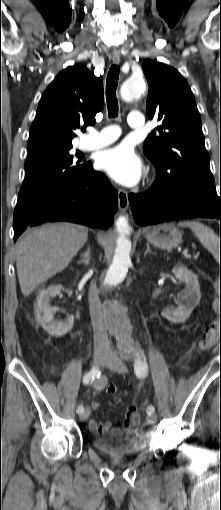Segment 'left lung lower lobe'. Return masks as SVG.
I'll return each instance as SVG.
<instances>
[{
    "label": "left lung lower lobe",
    "mask_w": 221,
    "mask_h": 510,
    "mask_svg": "<svg viewBox=\"0 0 221 510\" xmlns=\"http://www.w3.org/2000/svg\"><path fill=\"white\" fill-rule=\"evenodd\" d=\"M135 222L140 226L179 218H217L221 223V192L203 188L161 190L154 182L144 193L129 195Z\"/></svg>",
    "instance_id": "1"
}]
</instances>
